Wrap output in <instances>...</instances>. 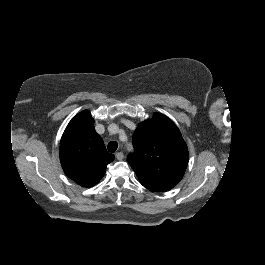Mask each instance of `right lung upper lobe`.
<instances>
[{"label":"right lung upper lobe","mask_w":265,"mask_h":265,"mask_svg":"<svg viewBox=\"0 0 265 265\" xmlns=\"http://www.w3.org/2000/svg\"><path fill=\"white\" fill-rule=\"evenodd\" d=\"M90 113L82 111L68 124L60 141L64 173L82 187H92L104 176L114 155L106 151Z\"/></svg>","instance_id":"obj_1"}]
</instances>
